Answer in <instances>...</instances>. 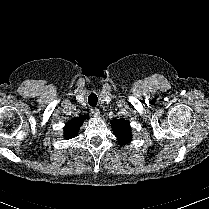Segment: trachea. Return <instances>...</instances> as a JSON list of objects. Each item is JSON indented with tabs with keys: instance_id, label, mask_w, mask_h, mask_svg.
Wrapping results in <instances>:
<instances>
[{
	"instance_id": "1",
	"label": "trachea",
	"mask_w": 209,
	"mask_h": 209,
	"mask_svg": "<svg viewBox=\"0 0 209 209\" xmlns=\"http://www.w3.org/2000/svg\"><path fill=\"white\" fill-rule=\"evenodd\" d=\"M97 102H98V98H97L96 94L91 93L88 96V103H89V105L92 106V107H95L97 105Z\"/></svg>"
}]
</instances>
